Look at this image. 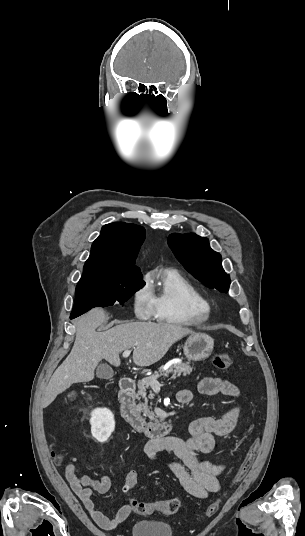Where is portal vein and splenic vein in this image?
<instances>
[{"label":"portal vein and splenic vein","instance_id":"1","mask_svg":"<svg viewBox=\"0 0 305 536\" xmlns=\"http://www.w3.org/2000/svg\"><path fill=\"white\" fill-rule=\"evenodd\" d=\"M130 354H131V350H125V352H123L122 356H123V358H128V356H130ZM179 362H181V360H177V362H175V364H179ZM151 388H160L159 382H157V380H153V382H151Z\"/></svg>","mask_w":305,"mask_h":536}]
</instances>
